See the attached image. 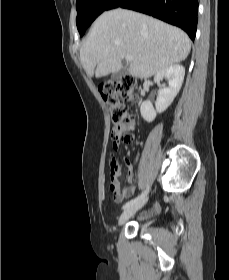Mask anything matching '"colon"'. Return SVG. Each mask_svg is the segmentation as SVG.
Masks as SVG:
<instances>
[{"label": "colon", "instance_id": "5ec220e1", "mask_svg": "<svg viewBox=\"0 0 229 280\" xmlns=\"http://www.w3.org/2000/svg\"><path fill=\"white\" fill-rule=\"evenodd\" d=\"M135 87V79L128 75L103 83L98 87V91L109 108L113 125L111 138L115 149L121 142L129 141L135 126L136 117L128 115L124 105L125 101H132L135 98Z\"/></svg>", "mask_w": 229, "mask_h": 280}]
</instances>
